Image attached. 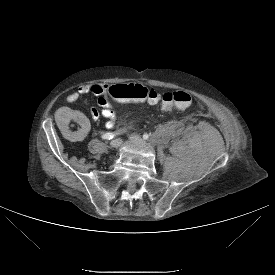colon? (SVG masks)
Wrapping results in <instances>:
<instances>
[{
  "label": "colon",
  "mask_w": 275,
  "mask_h": 275,
  "mask_svg": "<svg viewBox=\"0 0 275 275\" xmlns=\"http://www.w3.org/2000/svg\"><path fill=\"white\" fill-rule=\"evenodd\" d=\"M109 95L122 102H147L156 103L159 95L153 89H149L139 84L117 85L109 90ZM162 107L166 110L177 108L188 109L192 104V97L185 91L167 92L162 96Z\"/></svg>",
  "instance_id": "5ec220e1"
}]
</instances>
